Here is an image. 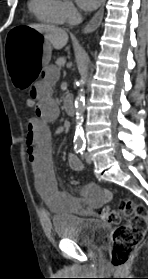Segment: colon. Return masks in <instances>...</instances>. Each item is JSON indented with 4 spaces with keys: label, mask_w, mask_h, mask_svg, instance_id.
<instances>
[{
    "label": "colon",
    "mask_w": 148,
    "mask_h": 279,
    "mask_svg": "<svg viewBox=\"0 0 148 279\" xmlns=\"http://www.w3.org/2000/svg\"><path fill=\"white\" fill-rule=\"evenodd\" d=\"M28 108L36 107V99H26ZM102 220L117 225L112 236L111 262L114 266L125 265L134 254L148 230V210L131 199L122 201L117 209L105 208L100 211Z\"/></svg>",
    "instance_id": "1"
}]
</instances>
